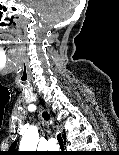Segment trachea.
I'll use <instances>...</instances> for the list:
<instances>
[{
	"label": "trachea",
	"instance_id": "trachea-1",
	"mask_svg": "<svg viewBox=\"0 0 119 155\" xmlns=\"http://www.w3.org/2000/svg\"><path fill=\"white\" fill-rule=\"evenodd\" d=\"M43 118L46 121H49L50 116H49V114L47 112H43ZM57 140H58V143H59L60 146L63 145L64 142H63V138H62L61 134L57 135Z\"/></svg>",
	"mask_w": 119,
	"mask_h": 155
}]
</instances>
